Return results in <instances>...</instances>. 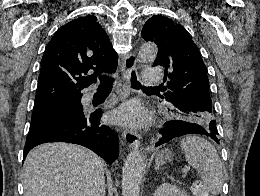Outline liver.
Here are the masks:
<instances>
[{
    "instance_id": "obj_1",
    "label": "liver",
    "mask_w": 260,
    "mask_h": 196,
    "mask_svg": "<svg viewBox=\"0 0 260 196\" xmlns=\"http://www.w3.org/2000/svg\"><path fill=\"white\" fill-rule=\"evenodd\" d=\"M24 196H102L103 160L76 144H41L29 152L22 170Z\"/></svg>"
}]
</instances>
